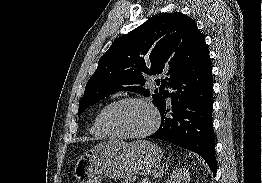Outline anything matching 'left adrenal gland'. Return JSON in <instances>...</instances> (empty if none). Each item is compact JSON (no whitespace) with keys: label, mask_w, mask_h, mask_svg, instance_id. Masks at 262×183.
<instances>
[{"label":"left adrenal gland","mask_w":262,"mask_h":183,"mask_svg":"<svg viewBox=\"0 0 262 183\" xmlns=\"http://www.w3.org/2000/svg\"><path fill=\"white\" fill-rule=\"evenodd\" d=\"M164 167L161 169V172H160V174H161V176H163V174H164Z\"/></svg>","instance_id":"left-adrenal-gland-1"}]
</instances>
